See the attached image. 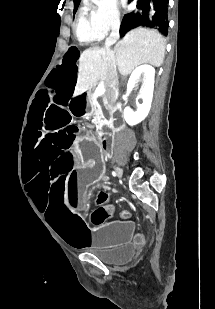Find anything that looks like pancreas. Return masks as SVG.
<instances>
[{
    "instance_id": "1",
    "label": "pancreas",
    "mask_w": 215,
    "mask_h": 309,
    "mask_svg": "<svg viewBox=\"0 0 215 309\" xmlns=\"http://www.w3.org/2000/svg\"><path fill=\"white\" fill-rule=\"evenodd\" d=\"M87 96L90 100V104L92 106L94 116H96L95 124H96V126H100V124H102V118H104L103 112H102L101 108H95L96 104H94V102H93V98H94L95 94H94V92H92V90H88Z\"/></svg>"
}]
</instances>
